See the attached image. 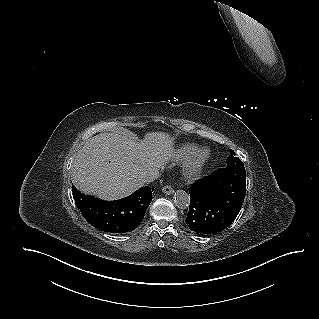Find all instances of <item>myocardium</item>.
Returning a JSON list of instances; mask_svg holds the SVG:
<instances>
[{"label":"myocardium","mask_w":319,"mask_h":319,"mask_svg":"<svg viewBox=\"0 0 319 319\" xmlns=\"http://www.w3.org/2000/svg\"><path fill=\"white\" fill-rule=\"evenodd\" d=\"M208 160L209 155L205 150L198 151L185 169V179L189 182L197 180L201 176Z\"/></svg>","instance_id":"obj_1"}]
</instances>
